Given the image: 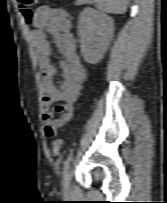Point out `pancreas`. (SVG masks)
Masks as SVG:
<instances>
[{
  "mask_svg": "<svg viewBox=\"0 0 167 203\" xmlns=\"http://www.w3.org/2000/svg\"><path fill=\"white\" fill-rule=\"evenodd\" d=\"M86 3H88V0H77L75 2L76 5H81V4H86Z\"/></svg>",
  "mask_w": 167,
  "mask_h": 203,
  "instance_id": "cf45deb5",
  "label": "pancreas"
}]
</instances>
